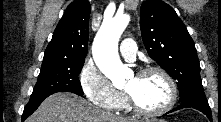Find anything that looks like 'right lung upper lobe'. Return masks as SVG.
<instances>
[{"mask_svg": "<svg viewBox=\"0 0 221 122\" xmlns=\"http://www.w3.org/2000/svg\"><path fill=\"white\" fill-rule=\"evenodd\" d=\"M90 3L76 0L68 5L48 44L43 61L84 60L88 51Z\"/></svg>", "mask_w": 221, "mask_h": 122, "instance_id": "obj_1", "label": "right lung upper lobe"}]
</instances>
